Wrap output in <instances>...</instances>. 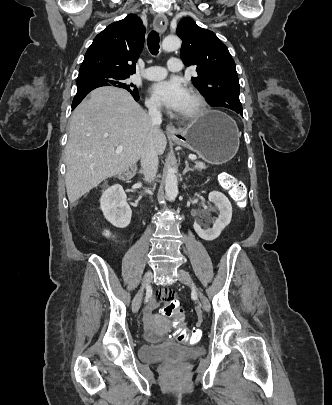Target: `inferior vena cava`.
I'll list each match as a JSON object with an SVG mask.
<instances>
[{"label": "inferior vena cava", "mask_w": 332, "mask_h": 405, "mask_svg": "<svg viewBox=\"0 0 332 405\" xmlns=\"http://www.w3.org/2000/svg\"><path fill=\"white\" fill-rule=\"evenodd\" d=\"M147 108L152 127L159 126L162 123L161 104L157 101H150L147 103ZM141 165L144 180L151 183L158 169V154L151 135L145 141L141 154Z\"/></svg>", "instance_id": "obj_1"}]
</instances>
